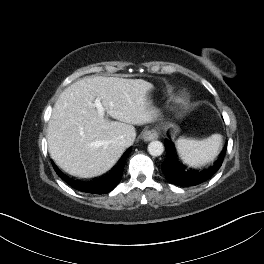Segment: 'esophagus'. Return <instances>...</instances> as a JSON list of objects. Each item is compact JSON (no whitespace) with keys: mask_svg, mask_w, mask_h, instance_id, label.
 <instances>
[{"mask_svg":"<svg viewBox=\"0 0 264 264\" xmlns=\"http://www.w3.org/2000/svg\"><path fill=\"white\" fill-rule=\"evenodd\" d=\"M158 138V132L155 129L145 130L142 133V139L144 141H151Z\"/></svg>","mask_w":264,"mask_h":264,"instance_id":"1","label":"esophagus"}]
</instances>
